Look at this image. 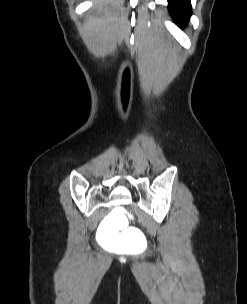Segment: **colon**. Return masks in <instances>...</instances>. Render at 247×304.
Segmentation results:
<instances>
[{
	"instance_id": "1",
	"label": "colon",
	"mask_w": 247,
	"mask_h": 304,
	"mask_svg": "<svg viewBox=\"0 0 247 304\" xmlns=\"http://www.w3.org/2000/svg\"><path fill=\"white\" fill-rule=\"evenodd\" d=\"M136 219V214H129L127 206H120L104 215L94 235L104 253H141L148 244V237H145L141 225H131L130 221Z\"/></svg>"
}]
</instances>
